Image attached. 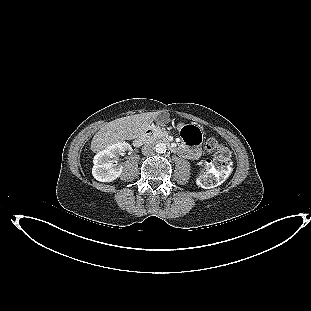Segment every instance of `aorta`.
<instances>
[{"label": "aorta", "mask_w": 311, "mask_h": 311, "mask_svg": "<svg viewBox=\"0 0 311 311\" xmlns=\"http://www.w3.org/2000/svg\"><path fill=\"white\" fill-rule=\"evenodd\" d=\"M155 151L157 152V153H160V154H162V153H165L166 152V144L165 143H157L156 145H155Z\"/></svg>", "instance_id": "762f6f07"}]
</instances>
